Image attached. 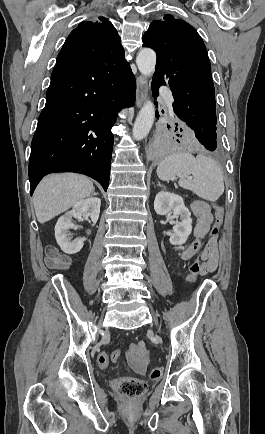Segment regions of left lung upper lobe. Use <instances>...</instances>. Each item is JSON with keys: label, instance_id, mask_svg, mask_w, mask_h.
Masks as SVG:
<instances>
[{"label": "left lung upper lobe", "instance_id": "5c2ea615", "mask_svg": "<svg viewBox=\"0 0 265 434\" xmlns=\"http://www.w3.org/2000/svg\"><path fill=\"white\" fill-rule=\"evenodd\" d=\"M143 46L157 53L152 84L171 87L173 109L191 128L216 127L215 89L203 40L190 24L172 15L154 20Z\"/></svg>", "mask_w": 265, "mask_h": 434}]
</instances>
